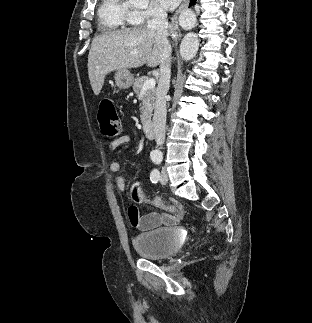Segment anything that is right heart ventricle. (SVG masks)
I'll use <instances>...</instances> for the list:
<instances>
[{
  "label": "right heart ventricle",
  "mask_w": 312,
  "mask_h": 323,
  "mask_svg": "<svg viewBox=\"0 0 312 323\" xmlns=\"http://www.w3.org/2000/svg\"><path fill=\"white\" fill-rule=\"evenodd\" d=\"M137 14V9L121 5V0H100L94 20H100L105 29H128V25H135Z\"/></svg>",
  "instance_id": "obj_1"
}]
</instances>
